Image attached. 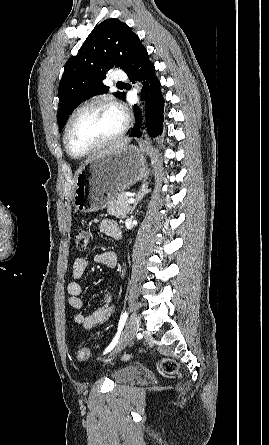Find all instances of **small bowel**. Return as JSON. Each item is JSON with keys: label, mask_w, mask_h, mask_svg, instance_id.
Returning <instances> with one entry per match:
<instances>
[{"label": "small bowel", "mask_w": 269, "mask_h": 445, "mask_svg": "<svg viewBox=\"0 0 269 445\" xmlns=\"http://www.w3.org/2000/svg\"><path fill=\"white\" fill-rule=\"evenodd\" d=\"M99 229L103 234L111 238L119 239L121 237L120 228L118 224L113 220H102L100 222ZM94 259L95 261L104 264L109 268H113L117 264V255L111 251L96 254ZM87 266L88 260L85 257L76 258L72 266L73 280L67 287L68 303L72 308L76 310H82L84 307V301L81 297V279L86 272ZM115 297L116 295L114 289L111 286H108L105 290L103 305L91 314H86L82 311L77 312L74 315V321L77 324L82 325L87 330L93 329L94 327L104 323L114 309Z\"/></svg>", "instance_id": "c3829d8e"}]
</instances>
